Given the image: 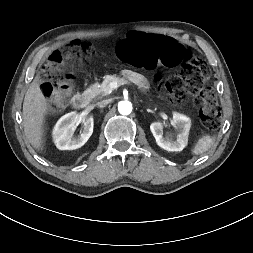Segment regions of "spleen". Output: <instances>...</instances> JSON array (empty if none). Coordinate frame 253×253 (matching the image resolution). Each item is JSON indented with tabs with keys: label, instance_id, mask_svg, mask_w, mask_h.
Returning a JSON list of instances; mask_svg holds the SVG:
<instances>
[{
	"label": "spleen",
	"instance_id": "obj_1",
	"mask_svg": "<svg viewBox=\"0 0 253 253\" xmlns=\"http://www.w3.org/2000/svg\"><path fill=\"white\" fill-rule=\"evenodd\" d=\"M215 142V137L209 135L202 136L199 138L194 148L192 149L193 155H201L208 151Z\"/></svg>",
	"mask_w": 253,
	"mask_h": 253
}]
</instances>
